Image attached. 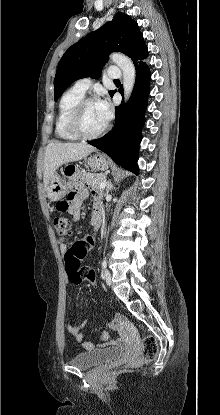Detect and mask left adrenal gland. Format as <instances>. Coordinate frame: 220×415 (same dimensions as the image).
<instances>
[{"instance_id": "left-adrenal-gland-1", "label": "left adrenal gland", "mask_w": 220, "mask_h": 415, "mask_svg": "<svg viewBox=\"0 0 220 415\" xmlns=\"http://www.w3.org/2000/svg\"><path fill=\"white\" fill-rule=\"evenodd\" d=\"M112 189H113V184L111 183V180H110L107 184L106 194H108V192L111 191Z\"/></svg>"}]
</instances>
